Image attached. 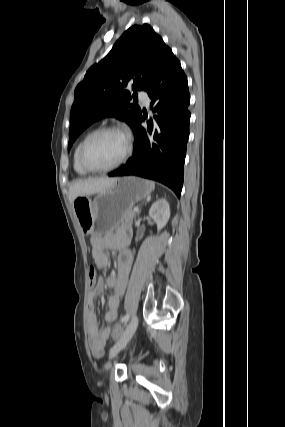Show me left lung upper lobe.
<instances>
[{
    "label": "left lung upper lobe",
    "instance_id": "obj_1",
    "mask_svg": "<svg viewBox=\"0 0 285 427\" xmlns=\"http://www.w3.org/2000/svg\"><path fill=\"white\" fill-rule=\"evenodd\" d=\"M171 49L150 25H134L114 44L108 55L93 65L76 87L70 113L68 151L78 135L94 121L114 116L134 129L140 108L125 89L147 90Z\"/></svg>",
    "mask_w": 285,
    "mask_h": 427
}]
</instances>
